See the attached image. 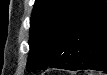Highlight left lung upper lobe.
Here are the masks:
<instances>
[{"label":"left lung upper lobe","mask_w":107,"mask_h":75,"mask_svg":"<svg viewBox=\"0 0 107 75\" xmlns=\"http://www.w3.org/2000/svg\"><path fill=\"white\" fill-rule=\"evenodd\" d=\"M97 2L94 0H36L30 20V51L27 67L39 69L50 65L66 68L59 65L64 57L63 49L77 41L80 21Z\"/></svg>","instance_id":"5c2ea615"}]
</instances>
